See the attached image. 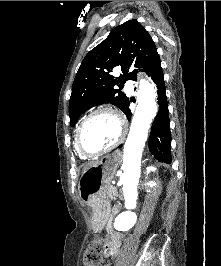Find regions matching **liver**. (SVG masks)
Masks as SVG:
<instances>
[{"mask_svg":"<svg viewBox=\"0 0 221 266\" xmlns=\"http://www.w3.org/2000/svg\"><path fill=\"white\" fill-rule=\"evenodd\" d=\"M97 162H98V161L88 163V164L84 167V171H85L87 168H89V167L95 165Z\"/></svg>","mask_w":221,"mask_h":266,"instance_id":"1","label":"liver"}]
</instances>
